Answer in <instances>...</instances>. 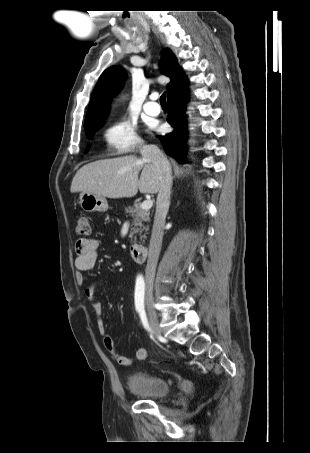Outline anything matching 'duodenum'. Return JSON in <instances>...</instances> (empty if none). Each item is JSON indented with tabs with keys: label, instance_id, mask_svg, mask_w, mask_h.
<instances>
[{
	"label": "duodenum",
	"instance_id": "1",
	"mask_svg": "<svg viewBox=\"0 0 310 453\" xmlns=\"http://www.w3.org/2000/svg\"><path fill=\"white\" fill-rule=\"evenodd\" d=\"M133 259L142 263L145 262L148 257V247L143 244H133L130 248Z\"/></svg>",
	"mask_w": 310,
	"mask_h": 453
}]
</instances>
